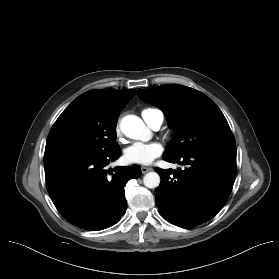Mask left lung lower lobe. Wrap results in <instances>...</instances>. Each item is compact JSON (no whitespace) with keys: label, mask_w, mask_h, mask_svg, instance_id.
<instances>
[{"label":"left lung lower lobe","mask_w":279,"mask_h":279,"mask_svg":"<svg viewBox=\"0 0 279 279\" xmlns=\"http://www.w3.org/2000/svg\"><path fill=\"white\" fill-rule=\"evenodd\" d=\"M185 169H160L156 203L170 223L190 228L213 218L226 203L236 175V147L197 149L177 157L163 156Z\"/></svg>","instance_id":"1"}]
</instances>
